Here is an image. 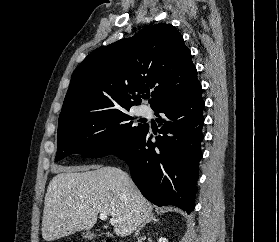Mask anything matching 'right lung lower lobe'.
Returning <instances> with one entry per match:
<instances>
[{"instance_id": "98d812e1", "label": "right lung lower lobe", "mask_w": 279, "mask_h": 242, "mask_svg": "<svg viewBox=\"0 0 279 242\" xmlns=\"http://www.w3.org/2000/svg\"><path fill=\"white\" fill-rule=\"evenodd\" d=\"M201 85L154 111L162 113L160 133L152 142L149 126L116 154L128 164L143 196L157 206L175 205L190 214L202 158L204 101ZM159 116V115H158Z\"/></svg>"}]
</instances>
